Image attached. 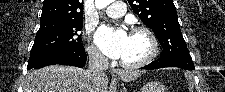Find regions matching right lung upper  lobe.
I'll return each mask as SVG.
<instances>
[{
  "label": "right lung upper lobe",
  "mask_w": 225,
  "mask_h": 92,
  "mask_svg": "<svg viewBox=\"0 0 225 92\" xmlns=\"http://www.w3.org/2000/svg\"><path fill=\"white\" fill-rule=\"evenodd\" d=\"M83 22V0H44L42 23Z\"/></svg>",
  "instance_id": "1"
}]
</instances>
